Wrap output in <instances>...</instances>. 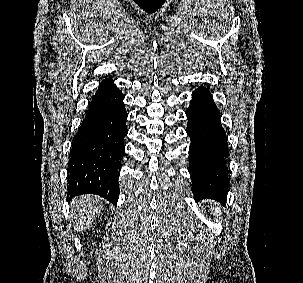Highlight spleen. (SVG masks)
Returning <instances> with one entry per match:
<instances>
[{
    "instance_id": "3e777b00",
    "label": "spleen",
    "mask_w": 303,
    "mask_h": 283,
    "mask_svg": "<svg viewBox=\"0 0 303 283\" xmlns=\"http://www.w3.org/2000/svg\"><path fill=\"white\" fill-rule=\"evenodd\" d=\"M212 210H213V215L217 217V220H218V216H219V208H218V205L216 203H213V206H212ZM214 210H215V213H214Z\"/></svg>"
}]
</instances>
